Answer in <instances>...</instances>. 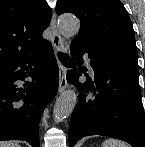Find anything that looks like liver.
<instances>
[{"label": "liver", "mask_w": 145, "mask_h": 147, "mask_svg": "<svg viewBox=\"0 0 145 147\" xmlns=\"http://www.w3.org/2000/svg\"><path fill=\"white\" fill-rule=\"evenodd\" d=\"M0 147H20L17 142L0 141Z\"/></svg>", "instance_id": "liver-1"}]
</instances>
